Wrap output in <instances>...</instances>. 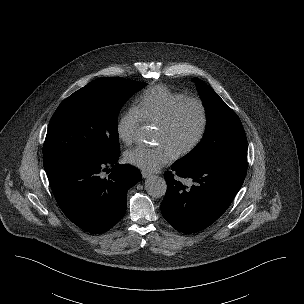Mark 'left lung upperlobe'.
<instances>
[{
  "mask_svg": "<svg viewBox=\"0 0 304 304\" xmlns=\"http://www.w3.org/2000/svg\"><path fill=\"white\" fill-rule=\"evenodd\" d=\"M193 80L206 110L207 127L199 145L178 162L191 168L224 160L246 162L247 139L239 118L212 88L198 78Z\"/></svg>",
  "mask_w": 304,
  "mask_h": 304,
  "instance_id": "left-lung-upper-lobe-1",
  "label": "left lung upper lobe"
}]
</instances>
